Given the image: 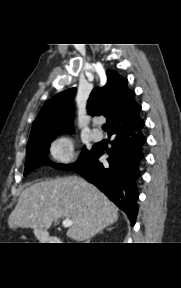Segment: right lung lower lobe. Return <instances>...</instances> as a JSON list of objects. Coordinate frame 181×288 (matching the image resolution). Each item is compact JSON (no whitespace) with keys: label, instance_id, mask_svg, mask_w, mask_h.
<instances>
[{"label":"right lung lower lobe","instance_id":"right-lung-lower-lobe-1","mask_svg":"<svg viewBox=\"0 0 181 288\" xmlns=\"http://www.w3.org/2000/svg\"><path fill=\"white\" fill-rule=\"evenodd\" d=\"M139 127L116 131L109 135L113 137L112 147L107 151V163L99 162L104 153L99 147L75 169L86 180L97 186L128 216L134 226L137 213V199L139 196L137 179L140 177L139 165L144 158L142 146L146 138Z\"/></svg>","mask_w":181,"mask_h":288}]
</instances>
